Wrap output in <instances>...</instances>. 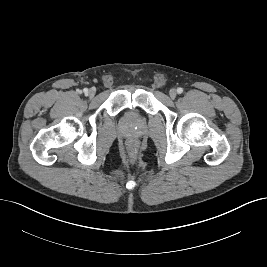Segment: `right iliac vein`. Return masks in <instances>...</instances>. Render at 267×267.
<instances>
[{
    "mask_svg": "<svg viewBox=\"0 0 267 267\" xmlns=\"http://www.w3.org/2000/svg\"><path fill=\"white\" fill-rule=\"evenodd\" d=\"M95 89H93V88H91L90 90H89V92H88V95L90 96V97H93L94 95H95Z\"/></svg>",
    "mask_w": 267,
    "mask_h": 267,
    "instance_id": "63e3f726",
    "label": "right iliac vein"
}]
</instances>
